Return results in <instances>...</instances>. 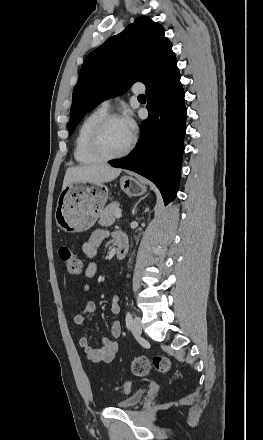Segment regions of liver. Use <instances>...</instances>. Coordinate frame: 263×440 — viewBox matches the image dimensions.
Masks as SVG:
<instances>
[{
    "mask_svg": "<svg viewBox=\"0 0 263 440\" xmlns=\"http://www.w3.org/2000/svg\"><path fill=\"white\" fill-rule=\"evenodd\" d=\"M121 171L119 168L103 163L70 167L66 170L62 189L74 182L94 185L107 183L116 179Z\"/></svg>",
    "mask_w": 263,
    "mask_h": 440,
    "instance_id": "liver-1",
    "label": "liver"
}]
</instances>
